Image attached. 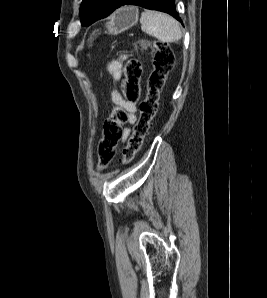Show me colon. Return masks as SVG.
Here are the masks:
<instances>
[{"label": "colon", "instance_id": "colon-1", "mask_svg": "<svg viewBox=\"0 0 267 298\" xmlns=\"http://www.w3.org/2000/svg\"><path fill=\"white\" fill-rule=\"evenodd\" d=\"M139 47L141 50L152 54L153 69L149 76L146 97L140 105L139 119L123 150L124 164H129L134 159L136 153L143 147L158 109L160 93L174 64V55L167 43L142 41ZM123 72L125 78L123 90L126 99L136 103L141 92L140 78L142 66L137 59L133 58L125 63ZM125 123L126 115L124 112L113 113L106 120L97 149L98 167L100 169L107 168L114 158Z\"/></svg>", "mask_w": 267, "mask_h": 298}]
</instances>
